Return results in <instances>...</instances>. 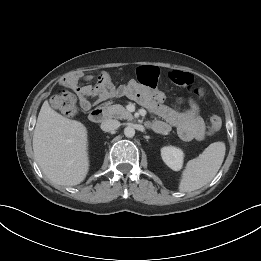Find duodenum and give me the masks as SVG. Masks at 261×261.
<instances>
[{
	"mask_svg": "<svg viewBox=\"0 0 261 261\" xmlns=\"http://www.w3.org/2000/svg\"><path fill=\"white\" fill-rule=\"evenodd\" d=\"M107 117V109L105 107H96L89 114V119L92 122L100 123L104 121Z\"/></svg>",
	"mask_w": 261,
	"mask_h": 261,
	"instance_id": "obj_1",
	"label": "duodenum"
}]
</instances>
